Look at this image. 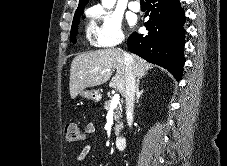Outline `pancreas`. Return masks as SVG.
I'll return each mask as SVG.
<instances>
[{
    "mask_svg": "<svg viewBox=\"0 0 227 166\" xmlns=\"http://www.w3.org/2000/svg\"><path fill=\"white\" fill-rule=\"evenodd\" d=\"M110 104H111L110 100L106 101L105 104H104V109L107 110V111L110 110ZM113 111H114V119L116 121V124H115V135L118 136L120 130L123 127V123L121 121V118H122L121 107L117 106Z\"/></svg>",
    "mask_w": 227,
    "mask_h": 166,
    "instance_id": "obj_1",
    "label": "pancreas"
}]
</instances>
